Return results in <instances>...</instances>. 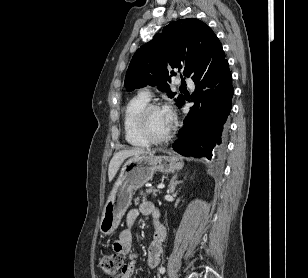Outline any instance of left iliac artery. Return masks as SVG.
I'll use <instances>...</instances> for the list:
<instances>
[{"label": "left iliac artery", "mask_w": 308, "mask_h": 278, "mask_svg": "<svg viewBox=\"0 0 308 278\" xmlns=\"http://www.w3.org/2000/svg\"><path fill=\"white\" fill-rule=\"evenodd\" d=\"M159 272L162 273V274L165 273V268H164V267H161V268L159 269Z\"/></svg>", "instance_id": "left-iliac-artery-1"}]
</instances>
